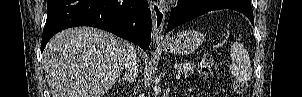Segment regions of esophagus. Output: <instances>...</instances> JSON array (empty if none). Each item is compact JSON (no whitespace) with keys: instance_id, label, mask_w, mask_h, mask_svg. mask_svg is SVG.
<instances>
[{"instance_id":"1","label":"esophagus","mask_w":302,"mask_h":97,"mask_svg":"<svg viewBox=\"0 0 302 97\" xmlns=\"http://www.w3.org/2000/svg\"><path fill=\"white\" fill-rule=\"evenodd\" d=\"M152 12V37L154 42L160 43L164 41L163 26L165 21V10L156 1L150 2Z\"/></svg>"}]
</instances>
